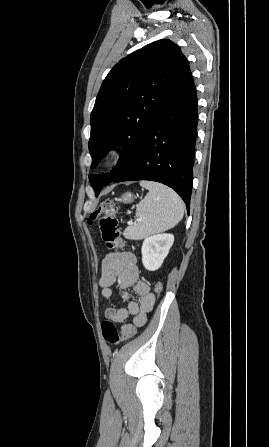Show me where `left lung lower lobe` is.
Wrapping results in <instances>:
<instances>
[{"label":"left lung lower lobe","instance_id":"left-lung-lower-lobe-1","mask_svg":"<svg viewBox=\"0 0 269 447\" xmlns=\"http://www.w3.org/2000/svg\"><path fill=\"white\" fill-rule=\"evenodd\" d=\"M197 94L186 60L138 153L112 182L151 180L174 189L189 211L197 135ZM101 190L96 191V196Z\"/></svg>","mask_w":269,"mask_h":447}]
</instances>
